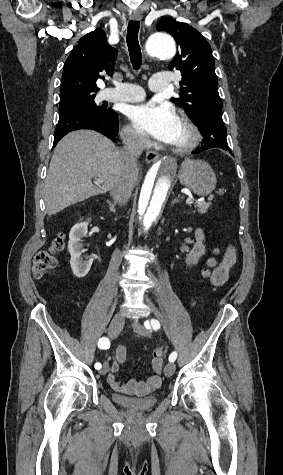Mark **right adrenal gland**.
<instances>
[{"label": "right adrenal gland", "mask_w": 283, "mask_h": 475, "mask_svg": "<svg viewBox=\"0 0 283 475\" xmlns=\"http://www.w3.org/2000/svg\"><path fill=\"white\" fill-rule=\"evenodd\" d=\"M107 202H108V204H109L110 210H115L116 204H112V202H110V200H107Z\"/></svg>", "instance_id": "2a0ac1e0"}]
</instances>
